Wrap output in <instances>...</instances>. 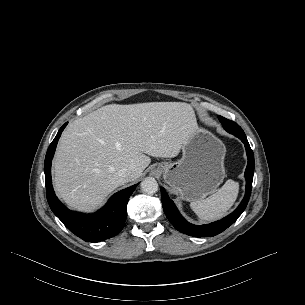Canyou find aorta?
I'll use <instances>...</instances> for the list:
<instances>
[{
  "label": "aorta",
  "mask_w": 305,
  "mask_h": 305,
  "mask_svg": "<svg viewBox=\"0 0 305 305\" xmlns=\"http://www.w3.org/2000/svg\"><path fill=\"white\" fill-rule=\"evenodd\" d=\"M141 190L147 194H154L158 191V183L152 177H146L140 183Z\"/></svg>",
  "instance_id": "1"
}]
</instances>
